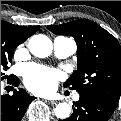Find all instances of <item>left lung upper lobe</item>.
<instances>
[{
  "label": "left lung upper lobe",
  "mask_w": 121,
  "mask_h": 121,
  "mask_svg": "<svg viewBox=\"0 0 121 121\" xmlns=\"http://www.w3.org/2000/svg\"><path fill=\"white\" fill-rule=\"evenodd\" d=\"M48 29L72 36L77 43V70L64 87L96 95L117 107L121 95V47L117 39L88 19L50 25Z\"/></svg>",
  "instance_id": "obj_1"
}]
</instances>
